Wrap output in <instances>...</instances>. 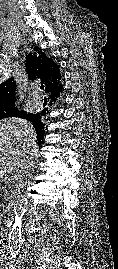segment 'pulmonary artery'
<instances>
[{"label": "pulmonary artery", "mask_w": 118, "mask_h": 269, "mask_svg": "<svg viewBox=\"0 0 118 269\" xmlns=\"http://www.w3.org/2000/svg\"><path fill=\"white\" fill-rule=\"evenodd\" d=\"M35 100H36V102H39V101H40V99H39V98H36Z\"/></svg>", "instance_id": "1"}]
</instances>
